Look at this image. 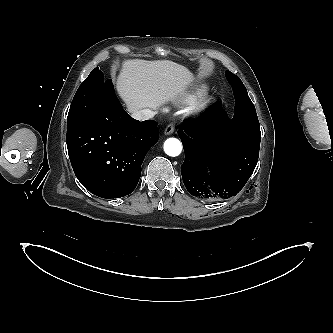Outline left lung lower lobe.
I'll return each mask as SVG.
<instances>
[{
    "label": "left lung lower lobe",
    "mask_w": 333,
    "mask_h": 333,
    "mask_svg": "<svg viewBox=\"0 0 333 333\" xmlns=\"http://www.w3.org/2000/svg\"><path fill=\"white\" fill-rule=\"evenodd\" d=\"M244 114L242 101H237ZM246 123H232L220 107L197 126L184 124L179 136L185 151L181 173L186 189L206 200L227 199L241 191L259 157L260 127L252 107Z\"/></svg>",
    "instance_id": "0a47b994"
}]
</instances>
